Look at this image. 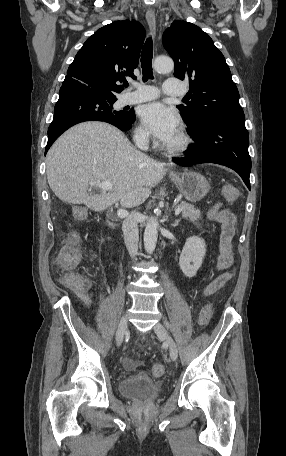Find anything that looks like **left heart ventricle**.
Segmentation results:
<instances>
[{"label":"left heart ventricle","mask_w":286,"mask_h":456,"mask_svg":"<svg viewBox=\"0 0 286 456\" xmlns=\"http://www.w3.org/2000/svg\"><path fill=\"white\" fill-rule=\"evenodd\" d=\"M178 136H176L169 144H173L177 141Z\"/></svg>","instance_id":"b2bd125f"}]
</instances>
